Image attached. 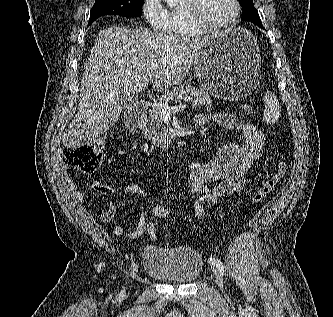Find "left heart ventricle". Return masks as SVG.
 I'll list each match as a JSON object with an SVG mask.
<instances>
[{
	"label": "left heart ventricle",
	"mask_w": 333,
	"mask_h": 317,
	"mask_svg": "<svg viewBox=\"0 0 333 317\" xmlns=\"http://www.w3.org/2000/svg\"><path fill=\"white\" fill-rule=\"evenodd\" d=\"M234 12L233 0H204L203 17L209 23H223L230 19Z\"/></svg>",
	"instance_id": "left-heart-ventricle-1"
}]
</instances>
